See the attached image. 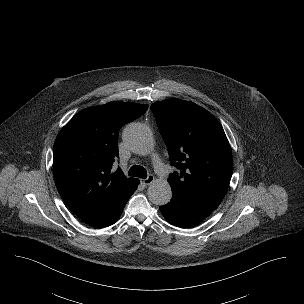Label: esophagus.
Listing matches in <instances>:
<instances>
[{"mask_svg": "<svg viewBox=\"0 0 304 304\" xmlns=\"http://www.w3.org/2000/svg\"><path fill=\"white\" fill-rule=\"evenodd\" d=\"M154 181H155V177L152 174H150L147 176V178L142 179L141 182L143 185L147 186V185L152 184Z\"/></svg>", "mask_w": 304, "mask_h": 304, "instance_id": "obj_1", "label": "esophagus"}]
</instances>
